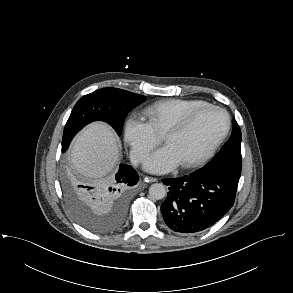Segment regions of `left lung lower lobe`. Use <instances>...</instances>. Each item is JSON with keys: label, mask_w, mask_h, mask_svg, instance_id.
I'll use <instances>...</instances> for the list:
<instances>
[{"label": "left lung lower lobe", "mask_w": 293, "mask_h": 293, "mask_svg": "<svg viewBox=\"0 0 293 293\" xmlns=\"http://www.w3.org/2000/svg\"><path fill=\"white\" fill-rule=\"evenodd\" d=\"M240 177L223 169L203 167L189 176L163 179L169 186L161 212L175 232L193 234L221 219L232 207Z\"/></svg>", "instance_id": "1"}]
</instances>
